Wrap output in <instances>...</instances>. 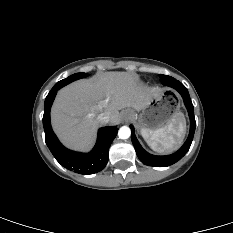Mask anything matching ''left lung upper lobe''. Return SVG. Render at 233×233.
I'll return each mask as SVG.
<instances>
[{
    "mask_svg": "<svg viewBox=\"0 0 233 233\" xmlns=\"http://www.w3.org/2000/svg\"><path fill=\"white\" fill-rule=\"evenodd\" d=\"M159 77L163 85H167L170 81L174 79L173 77H170L168 75H162V74H160Z\"/></svg>",
    "mask_w": 233,
    "mask_h": 233,
    "instance_id": "5c2ea615",
    "label": "left lung upper lobe"
}]
</instances>
